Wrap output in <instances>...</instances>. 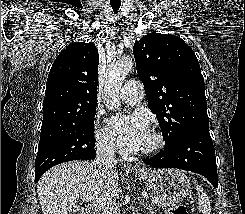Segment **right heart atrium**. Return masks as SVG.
I'll use <instances>...</instances> for the list:
<instances>
[{
    "label": "right heart atrium",
    "mask_w": 245,
    "mask_h": 214,
    "mask_svg": "<svg viewBox=\"0 0 245 214\" xmlns=\"http://www.w3.org/2000/svg\"><path fill=\"white\" fill-rule=\"evenodd\" d=\"M94 138L97 150L100 154L105 156H110L113 154V147L109 141L107 132L103 127L96 125Z\"/></svg>",
    "instance_id": "d8ad5b80"
}]
</instances>
